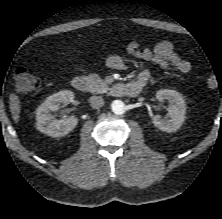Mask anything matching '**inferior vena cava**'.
I'll return each mask as SVG.
<instances>
[{
    "mask_svg": "<svg viewBox=\"0 0 222 219\" xmlns=\"http://www.w3.org/2000/svg\"><path fill=\"white\" fill-rule=\"evenodd\" d=\"M89 103L92 108L98 109L104 105V100L101 96H91Z\"/></svg>",
    "mask_w": 222,
    "mask_h": 219,
    "instance_id": "602c4592",
    "label": "inferior vena cava"
}]
</instances>
